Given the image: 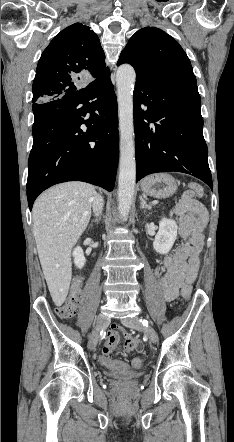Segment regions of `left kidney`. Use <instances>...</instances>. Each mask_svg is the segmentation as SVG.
Returning <instances> with one entry per match:
<instances>
[{"instance_id": "5707ae66", "label": "left kidney", "mask_w": 234, "mask_h": 442, "mask_svg": "<svg viewBox=\"0 0 234 442\" xmlns=\"http://www.w3.org/2000/svg\"><path fill=\"white\" fill-rule=\"evenodd\" d=\"M177 224L172 219L162 218L159 222V230L153 242L154 250L160 254H167L176 238H177Z\"/></svg>"}]
</instances>
